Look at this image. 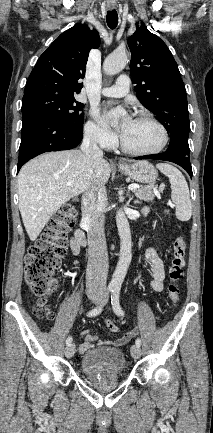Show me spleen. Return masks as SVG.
<instances>
[{"label":"spleen","mask_w":213,"mask_h":433,"mask_svg":"<svg viewBox=\"0 0 213 433\" xmlns=\"http://www.w3.org/2000/svg\"><path fill=\"white\" fill-rule=\"evenodd\" d=\"M156 167L169 178L172 190L171 198L176 206V217L180 221H188L192 215V204L185 177L170 164L159 163Z\"/></svg>","instance_id":"1"}]
</instances>
